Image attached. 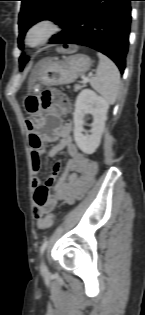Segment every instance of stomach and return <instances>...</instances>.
Listing matches in <instances>:
<instances>
[{
	"mask_svg": "<svg viewBox=\"0 0 145 315\" xmlns=\"http://www.w3.org/2000/svg\"><path fill=\"white\" fill-rule=\"evenodd\" d=\"M40 64L42 67L35 81L38 80L48 85H62L74 82L89 71L92 61L85 54H75L63 60L46 58ZM21 108L23 112H28L29 116H39L38 94H25Z\"/></svg>",
	"mask_w": 145,
	"mask_h": 315,
	"instance_id": "stomach-1",
	"label": "stomach"
}]
</instances>
